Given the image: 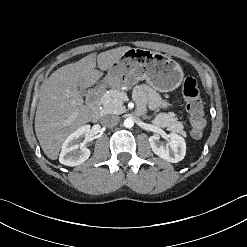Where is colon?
<instances>
[{
	"instance_id": "obj_1",
	"label": "colon",
	"mask_w": 247,
	"mask_h": 247,
	"mask_svg": "<svg viewBox=\"0 0 247 247\" xmlns=\"http://www.w3.org/2000/svg\"><path fill=\"white\" fill-rule=\"evenodd\" d=\"M182 93L186 104V109L190 115L191 134L194 138L199 139L203 136L206 120L204 117V106L200 96L196 80L188 76L182 85Z\"/></svg>"
}]
</instances>
